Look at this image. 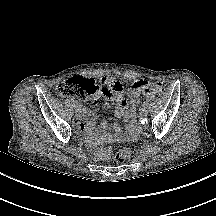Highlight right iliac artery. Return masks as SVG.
I'll list each match as a JSON object with an SVG mask.
<instances>
[{
    "label": "right iliac artery",
    "mask_w": 216,
    "mask_h": 216,
    "mask_svg": "<svg viewBox=\"0 0 216 216\" xmlns=\"http://www.w3.org/2000/svg\"><path fill=\"white\" fill-rule=\"evenodd\" d=\"M76 107H77V108H80V107H81V104H80V103H77V104H76Z\"/></svg>",
    "instance_id": "1"
}]
</instances>
